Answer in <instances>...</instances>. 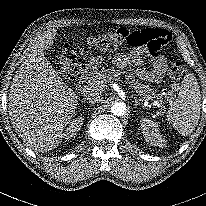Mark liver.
<instances>
[{
	"label": "liver",
	"instance_id": "liver-1",
	"mask_svg": "<svg viewBox=\"0 0 206 206\" xmlns=\"http://www.w3.org/2000/svg\"><path fill=\"white\" fill-rule=\"evenodd\" d=\"M55 28L38 36L28 58L16 71L9 93V115L13 127L30 149L49 152L58 147L65 136L78 106V95L69 88L44 55L54 43ZM100 56L91 57L93 70L101 63Z\"/></svg>",
	"mask_w": 206,
	"mask_h": 206
}]
</instances>
